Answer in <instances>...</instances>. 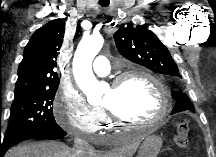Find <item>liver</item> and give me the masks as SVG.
<instances>
[{
  "label": "liver",
  "instance_id": "1",
  "mask_svg": "<svg viewBox=\"0 0 216 157\" xmlns=\"http://www.w3.org/2000/svg\"><path fill=\"white\" fill-rule=\"evenodd\" d=\"M140 137H130L120 148L110 152H95L87 157H132L140 145ZM5 157H79L74 149L56 141L28 142L10 149Z\"/></svg>",
  "mask_w": 216,
  "mask_h": 157
}]
</instances>
